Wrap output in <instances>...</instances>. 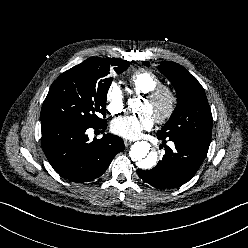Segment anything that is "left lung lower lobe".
<instances>
[{
    "mask_svg": "<svg viewBox=\"0 0 248 248\" xmlns=\"http://www.w3.org/2000/svg\"><path fill=\"white\" fill-rule=\"evenodd\" d=\"M157 137L166 142V137L161 134L157 133ZM167 139L175 143V149L167 147L162 160L153 169L137 170L143 181L160 189L176 188L188 182L201 166L209 148L179 138Z\"/></svg>",
    "mask_w": 248,
    "mask_h": 248,
    "instance_id": "left-lung-lower-lobe-1",
    "label": "left lung lower lobe"
}]
</instances>
